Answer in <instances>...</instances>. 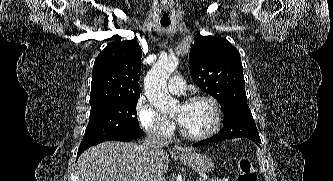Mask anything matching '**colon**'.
Wrapping results in <instances>:
<instances>
[{
    "mask_svg": "<svg viewBox=\"0 0 333 181\" xmlns=\"http://www.w3.org/2000/svg\"><path fill=\"white\" fill-rule=\"evenodd\" d=\"M237 181H256L257 175L255 173L252 161L246 156L237 159Z\"/></svg>",
    "mask_w": 333,
    "mask_h": 181,
    "instance_id": "5ec220e1",
    "label": "colon"
}]
</instances>
